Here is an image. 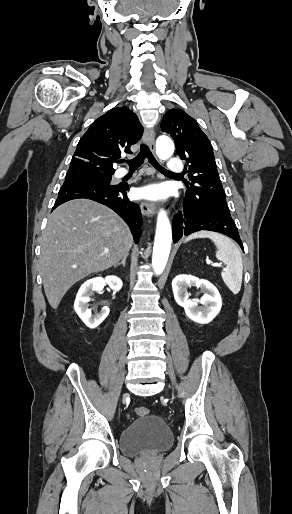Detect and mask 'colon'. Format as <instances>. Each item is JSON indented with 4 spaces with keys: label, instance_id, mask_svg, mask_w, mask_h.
<instances>
[{
    "label": "colon",
    "instance_id": "1",
    "mask_svg": "<svg viewBox=\"0 0 292 514\" xmlns=\"http://www.w3.org/2000/svg\"><path fill=\"white\" fill-rule=\"evenodd\" d=\"M134 411L135 414L141 418H146L150 413L149 410L144 406H136Z\"/></svg>",
    "mask_w": 292,
    "mask_h": 514
}]
</instances>
